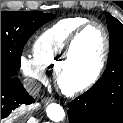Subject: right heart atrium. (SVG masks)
<instances>
[{
  "mask_svg": "<svg viewBox=\"0 0 123 123\" xmlns=\"http://www.w3.org/2000/svg\"><path fill=\"white\" fill-rule=\"evenodd\" d=\"M19 66L22 73L35 81H45V72L36 59L27 54H23L19 58Z\"/></svg>",
  "mask_w": 123,
  "mask_h": 123,
  "instance_id": "d8ad5b80",
  "label": "right heart atrium"
}]
</instances>
